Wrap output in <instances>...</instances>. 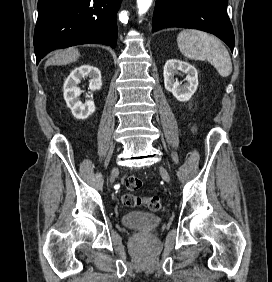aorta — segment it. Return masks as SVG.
<instances>
[{
    "label": "aorta",
    "mask_w": 272,
    "mask_h": 282,
    "mask_svg": "<svg viewBox=\"0 0 272 282\" xmlns=\"http://www.w3.org/2000/svg\"><path fill=\"white\" fill-rule=\"evenodd\" d=\"M153 0H137L138 14H145L151 6Z\"/></svg>",
    "instance_id": "1"
}]
</instances>
